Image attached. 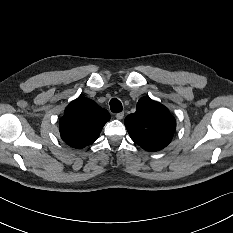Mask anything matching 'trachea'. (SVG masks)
Returning a JSON list of instances; mask_svg holds the SVG:
<instances>
[{
	"label": "trachea",
	"mask_w": 233,
	"mask_h": 233,
	"mask_svg": "<svg viewBox=\"0 0 233 233\" xmlns=\"http://www.w3.org/2000/svg\"><path fill=\"white\" fill-rule=\"evenodd\" d=\"M110 109L113 113H119L122 111V103L118 99L112 98L110 101Z\"/></svg>",
	"instance_id": "obj_1"
}]
</instances>
